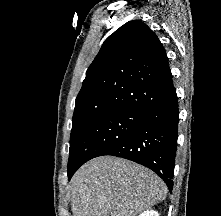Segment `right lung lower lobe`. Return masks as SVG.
Returning <instances> with one entry per match:
<instances>
[{
	"instance_id": "98d812e1",
	"label": "right lung lower lobe",
	"mask_w": 221,
	"mask_h": 216,
	"mask_svg": "<svg viewBox=\"0 0 221 216\" xmlns=\"http://www.w3.org/2000/svg\"><path fill=\"white\" fill-rule=\"evenodd\" d=\"M179 121L178 98L173 85L148 109L135 131L104 155L122 157L154 171L173 188ZM80 166L69 170L68 178Z\"/></svg>"
}]
</instances>
